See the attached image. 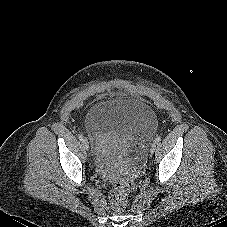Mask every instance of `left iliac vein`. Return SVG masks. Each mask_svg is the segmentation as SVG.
<instances>
[{
    "mask_svg": "<svg viewBox=\"0 0 227 227\" xmlns=\"http://www.w3.org/2000/svg\"><path fill=\"white\" fill-rule=\"evenodd\" d=\"M156 148H157V142H153V143L151 144L150 152H151V153H154V151L156 150Z\"/></svg>",
    "mask_w": 227,
    "mask_h": 227,
    "instance_id": "left-iliac-vein-1",
    "label": "left iliac vein"
}]
</instances>
